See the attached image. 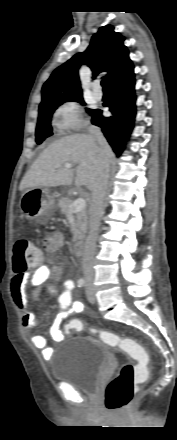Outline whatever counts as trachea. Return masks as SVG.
<instances>
[{"label":"trachea","instance_id":"3493384b","mask_svg":"<svg viewBox=\"0 0 177 440\" xmlns=\"http://www.w3.org/2000/svg\"><path fill=\"white\" fill-rule=\"evenodd\" d=\"M101 85H102L104 91H107V90H108V87L106 86L105 81H102V82H101Z\"/></svg>","mask_w":177,"mask_h":440}]
</instances>
